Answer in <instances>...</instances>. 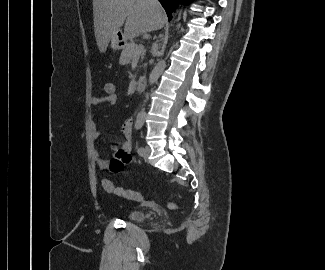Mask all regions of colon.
<instances>
[{
  "mask_svg": "<svg viewBox=\"0 0 325 270\" xmlns=\"http://www.w3.org/2000/svg\"><path fill=\"white\" fill-rule=\"evenodd\" d=\"M103 93L105 96H108V97L117 95V87H116L115 83L112 81L105 82L103 85ZM102 187L106 192L115 194L117 196L123 197L128 200H132V201H142L143 200V195L140 192L115 186L108 179H104L102 181ZM169 206L172 209L177 208V206L173 203H171Z\"/></svg>",
  "mask_w": 325,
  "mask_h": 270,
  "instance_id": "obj_1",
  "label": "colon"
}]
</instances>
